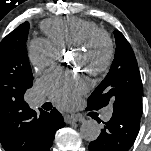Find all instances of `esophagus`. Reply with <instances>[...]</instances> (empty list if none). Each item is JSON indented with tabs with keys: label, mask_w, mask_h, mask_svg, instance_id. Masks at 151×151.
Returning a JSON list of instances; mask_svg holds the SVG:
<instances>
[{
	"label": "esophagus",
	"mask_w": 151,
	"mask_h": 151,
	"mask_svg": "<svg viewBox=\"0 0 151 151\" xmlns=\"http://www.w3.org/2000/svg\"><path fill=\"white\" fill-rule=\"evenodd\" d=\"M64 119L67 124H73L75 122L81 121V118L77 115H66Z\"/></svg>",
	"instance_id": "obj_1"
}]
</instances>
